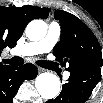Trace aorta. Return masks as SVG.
<instances>
[{"label": "aorta", "instance_id": "obj_1", "mask_svg": "<svg viewBox=\"0 0 103 103\" xmlns=\"http://www.w3.org/2000/svg\"><path fill=\"white\" fill-rule=\"evenodd\" d=\"M47 25L43 20H32L26 27V36L32 41H38L45 37ZM35 87L44 99H53L58 96L60 91L59 78L49 72L37 76Z\"/></svg>", "mask_w": 103, "mask_h": 103}]
</instances>
